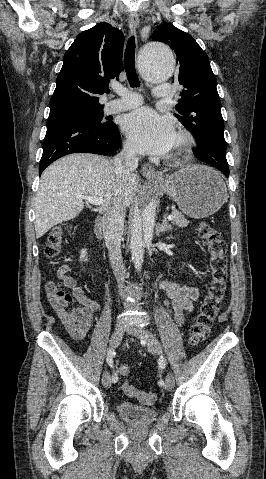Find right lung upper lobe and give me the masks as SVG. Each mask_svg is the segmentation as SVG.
<instances>
[{
  "label": "right lung upper lobe",
  "instance_id": "1",
  "mask_svg": "<svg viewBox=\"0 0 266 479\" xmlns=\"http://www.w3.org/2000/svg\"><path fill=\"white\" fill-rule=\"evenodd\" d=\"M123 45V33L106 22L81 32L64 54L50 113L103 107L99 96L123 70Z\"/></svg>",
  "mask_w": 266,
  "mask_h": 479
}]
</instances>
